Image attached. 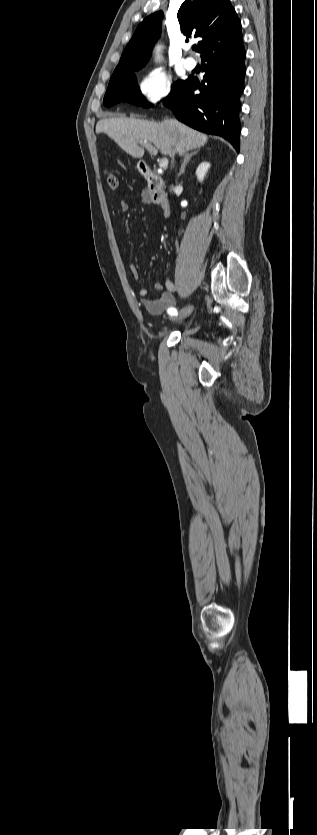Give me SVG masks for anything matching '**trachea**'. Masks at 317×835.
Here are the masks:
<instances>
[{
	"label": "trachea",
	"instance_id": "obj_1",
	"mask_svg": "<svg viewBox=\"0 0 317 835\" xmlns=\"http://www.w3.org/2000/svg\"><path fill=\"white\" fill-rule=\"evenodd\" d=\"M192 49L194 50V49H195V46H193V47H192Z\"/></svg>",
	"mask_w": 317,
	"mask_h": 835
}]
</instances>
